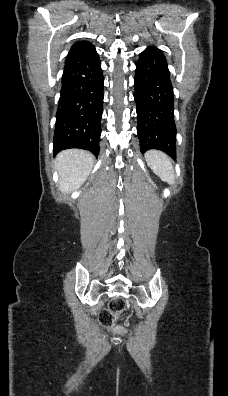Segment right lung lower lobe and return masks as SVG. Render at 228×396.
Listing matches in <instances>:
<instances>
[{
	"label": "right lung lower lobe",
	"mask_w": 228,
	"mask_h": 396,
	"mask_svg": "<svg viewBox=\"0 0 228 396\" xmlns=\"http://www.w3.org/2000/svg\"><path fill=\"white\" fill-rule=\"evenodd\" d=\"M103 82L94 46L68 54L56 113L54 154L69 148L99 154Z\"/></svg>",
	"instance_id": "1"
}]
</instances>
